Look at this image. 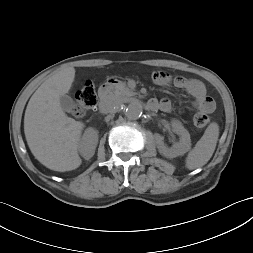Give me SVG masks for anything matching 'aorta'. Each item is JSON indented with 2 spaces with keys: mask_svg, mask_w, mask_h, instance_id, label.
<instances>
[{
  "mask_svg": "<svg viewBox=\"0 0 253 253\" xmlns=\"http://www.w3.org/2000/svg\"><path fill=\"white\" fill-rule=\"evenodd\" d=\"M143 114V106L139 102H131L125 108V116L129 120H137Z\"/></svg>",
  "mask_w": 253,
  "mask_h": 253,
  "instance_id": "762f6f07",
  "label": "aorta"
}]
</instances>
